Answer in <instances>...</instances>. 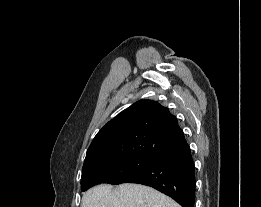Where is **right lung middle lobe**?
<instances>
[{
  "label": "right lung middle lobe",
  "mask_w": 261,
  "mask_h": 207,
  "mask_svg": "<svg viewBox=\"0 0 261 207\" xmlns=\"http://www.w3.org/2000/svg\"><path fill=\"white\" fill-rule=\"evenodd\" d=\"M158 159L145 156H127L83 166L81 187L86 191L101 184H120L124 179L156 163Z\"/></svg>",
  "instance_id": "dd1d6c3e"
}]
</instances>
